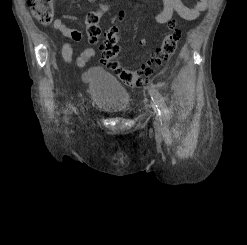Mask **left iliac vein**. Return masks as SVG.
I'll return each instance as SVG.
<instances>
[{
	"mask_svg": "<svg viewBox=\"0 0 247 245\" xmlns=\"http://www.w3.org/2000/svg\"><path fill=\"white\" fill-rule=\"evenodd\" d=\"M154 127L157 131L161 130V123H160V119L158 117L155 118Z\"/></svg>",
	"mask_w": 247,
	"mask_h": 245,
	"instance_id": "obj_1",
	"label": "left iliac vein"
}]
</instances>
